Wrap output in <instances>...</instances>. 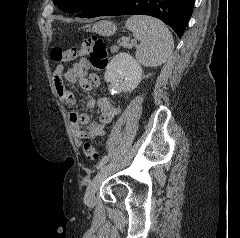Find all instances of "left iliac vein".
I'll list each match as a JSON object with an SVG mask.
<instances>
[{
    "mask_svg": "<svg viewBox=\"0 0 240 238\" xmlns=\"http://www.w3.org/2000/svg\"><path fill=\"white\" fill-rule=\"evenodd\" d=\"M117 165L118 162H111L103 166L100 169V171L96 174V176L92 179V181L89 183L84 197V202L87 206L93 207L95 205V193L99 189L103 180L113 169H115V167H117Z\"/></svg>",
    "mask_w": 240,
    "mask_h": 238,
    "instance_id": "obj_1",
    "label": "left iliac vein"
}]
</instances>
